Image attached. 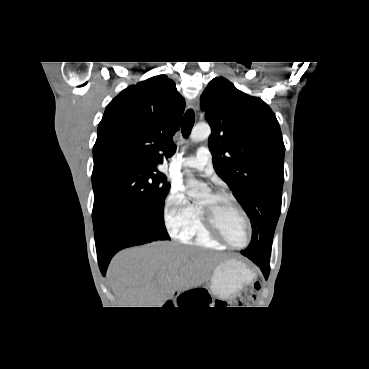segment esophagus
<instances>
[{
  "mask_svg": "<svg viewBox=\"0 0 369 369\" xmlns=\"http://www.w3.org/2000/svg\"><path fill=\"white\" fill-rule=\"evenodd\" d=\"M187 107L191 108L194 112H197L199 109V99L194 98L187 102Z\"/></svg>",
  "mask_w": 369,
  "mask_h": 369,
  "instance_id": "34e87169",
  "label": "esophagus"
}]
</instances>
